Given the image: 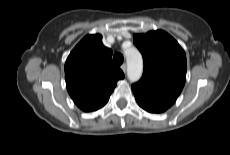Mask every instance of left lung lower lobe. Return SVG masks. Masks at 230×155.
<instances>
[{"label":"left lung lower lobe","mask_w":230,"mask_h":155,"mask_svg":"<svg viewBox=\"0 0 230 155\" xmlns=\"http://www.w3.org/2000/svg\"><path fill=\"white\" fill-rule=\"evenodd\" d=\"M136 101L141 108H143L144 110L150 113H162L168 109L167 107L161 104H158L152 101H148L142 98H136Z\"/></svg>","instance_id":"0a47b994"}]
</instances>
